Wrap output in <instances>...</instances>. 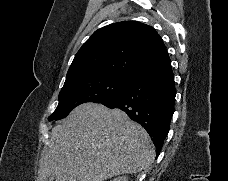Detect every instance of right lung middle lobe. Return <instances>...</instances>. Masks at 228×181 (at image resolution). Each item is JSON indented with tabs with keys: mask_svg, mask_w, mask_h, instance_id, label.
Returning <instances> with one entry per match:
<instances>
[{
	"mask_svg": "<svg viewBox=\"0 0 228 181\" xmlns=\"http://www.w3.org/2000/svg\"><path fill=\"white\" fill-rule=\"evenodd\" d=\"M130 80V77L98 74L65 83L59 93V104L48 120L62 119L82 103H102L113 99Z\"/></svg>",
	"mask_w": 228,
	"mask_h": 181,
	"instance_id": "right-lung-middle-lobe-1",
	"label": "right lung middle lobe"
}]
</instances>
